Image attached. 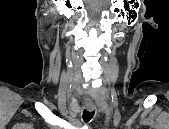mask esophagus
Segmentation results:
<instances>
[{"instance_id": "34e87169", "label": "esophagus", "mask_w": 169, "mask_h": 129, "mask_svg": "<svg viewBox=\"0 0 169 129\" xmlns=\"http://www.w3.org/2000/svg\"><path fill=\"white\" fill-rule=\"evenodd\" d=\"M86 109L89 110V111H93L95 110V106L93 104H86Z\"/></svg>"}]
</instances>
